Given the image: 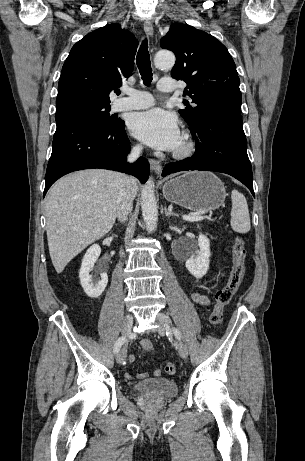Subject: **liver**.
Returning a JSON list of instances; mask_svg holds the SVG:
<instances>
[{
    "label": "liver",
    "mask_w": 305,
    "mask_h": 461,
    "mask_svg": "<svg viewBox=\"0 0 305 461\" xmlns=\"http://www.w3.org/2000/svg\"><path fill=\"white\" fill-rule=\"evenodd\" d=\"M122 175L87 169L58 180L45 199L50 257L57 273L89 244L107 234L117 216ZM136 196L138 182L130 178Z\"/></svg>",
    "instance_id": "obj_1"
}]
</instances>
